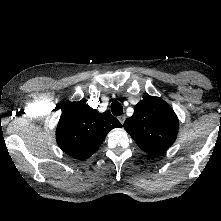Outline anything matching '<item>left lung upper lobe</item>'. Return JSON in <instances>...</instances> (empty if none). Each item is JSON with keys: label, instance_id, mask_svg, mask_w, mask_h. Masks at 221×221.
<instances>
[{"label": "left lung upper lobe", "instance_id": "obj_1", "mask_svg": "<svg viewBox=\"0 0 221 221\" xmlns=\"http://www.w3.org/2000/svg\"><path fill=\"white\" fill-rule=\"evenodd\" d=\"M124 129L143 151L159 155L174 143L178 118L164 100L147 97L135 106V112L125 121Z\"/></svg>", "mask_w": 221, "mask_h": 221}]
</instances>
